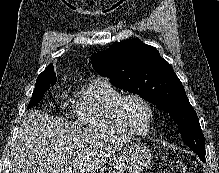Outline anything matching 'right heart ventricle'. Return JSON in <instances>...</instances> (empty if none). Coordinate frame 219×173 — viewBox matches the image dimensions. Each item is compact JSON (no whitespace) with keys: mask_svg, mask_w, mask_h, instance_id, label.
Instances as JSON below:
<instances>
[{"mask_svg":"<svg viewBox=\"0 0 219 173\" xmlns=\"http://www.w3.org/2000/svg\"><path fill=\"white\" fill-rule=\"evenodd\" d=\"M121 93L107 80L95 78L84 85L71 103L75 121L92 131L108 135H126L115 124L111 108Z\"/></svg>","mask_w":219,"mask_h":173,"instance_id":"1","label":"right heart ventricle"}]
</instances>
